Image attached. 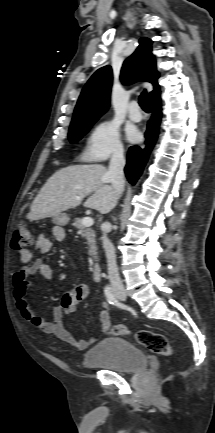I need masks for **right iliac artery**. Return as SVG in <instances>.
<instances>
[{"instance_id":"right-iliac-artery-1","label":"right iliac artery","mask_w":215,"mask_h":433,"mask_svg":"<svg viewBox=\"0 0 215 433\" xmlns=\"http://www.w3.org/2000/svg\"><path fill=\"white\" fill-rule=\"evenodd\" d=\"M104 292H105L106 299L110 304L118 305V301L116 300L113 289L110 286H106Z\"/></svg>"}]
</instances>
